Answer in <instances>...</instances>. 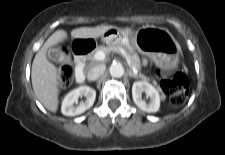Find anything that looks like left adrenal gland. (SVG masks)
<instances>
[{
  "label": "left adrenal gland",
  "mask_w": 225,
  "mask_h": 155,
  "mask_svg": "<svg viewBox=\"0 0 225 155\" xmlns=\"http://www.w3.org/2000/svg\"><path fill=\"white\" fill-rule=\"evenodd\" d=\"M129 75H130L131 77L135 78V79H137V78H138V76H137V75H135V74H133L131 71H129Z\"/></svg>",
  "instance_id": "a2214340"
}]
</instances>
